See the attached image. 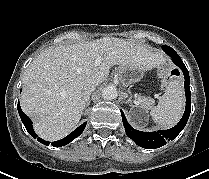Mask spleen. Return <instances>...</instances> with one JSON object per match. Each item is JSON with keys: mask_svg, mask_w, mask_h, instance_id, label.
Segmentation results:
<instances>
[{"mask_svg": "<svg viewBox=\"0 0 209 179\" xmlns=\"http://www.w3.org/2000/svg\"><path fill=\"white\" fill-rule=\"evenodd\" d=\"M184 103L185 97L182 83L178 80H172L166 87L158 105L151 109L150 115L154 122L162 127L171 128L179 122Z\"/></svg>", "mask_w": 209, "mask_h": 179, "instance_id": "1", "label": "spleen"}]
</instances>
